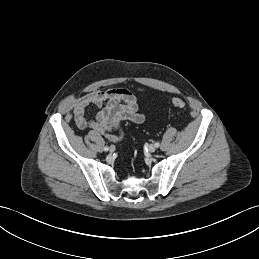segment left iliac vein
<instances>
[{"label": "left iliac vein", "instance_id": "4c4485c4", "mask_svg": "<svg viewBox=\"0 0 259 259\" xmlns=\"http://www.w3.org/2000/svg\"><path fill=\"white\" fill-rule=\"evenodd\" d=\"M148 150H149L150 153H153V152L156 151V146L151 144V145H149Z\"/></svg>", "mask_w": 259, "mask_h": 259}]
</instances>
